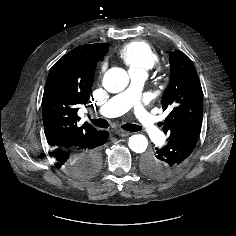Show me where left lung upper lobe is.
Wrapping results in <instances>:
<instances>
[{
    "mask_svg": "<svg viewBox=\"0 0 236 236\" xmlns=\"http://www.w3.org/2000/svg\"><path fill=\"white\" fill-rule=\"evenodd\" d=\"M170 81L162 97V108L171 112L163 125L173 138L188 131H200L203 116V92L192 61L182 52H171Z\"/></svg>",
    "mask_w": 236,
    "mask_h": 236,
    "instance_id": "left-lung-upper-lobe-1",
    "label": "left lung upper lobe"
}]
</instances>
